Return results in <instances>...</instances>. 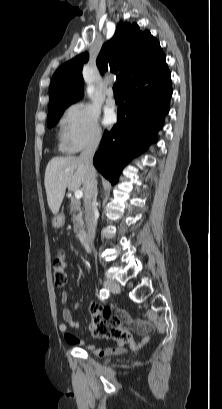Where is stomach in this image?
I'll list each match as a JSON object with an SVG mask.
<instances>
[{"instance_id":"obj_1","label":"stomach","mask_w":222,"mask_h":409,"mask_svg":"<svg viewBox=\"0 0 222 409\" xmlns=\"http://www.w3.org/2000/svg\"><path fill=\"white\" fill-rule=\"evenodd\" d=\"M65 224V216L64 214H59L55 216L53 220V226L56 228H61Z\"/></svg>"}]
</instances>
